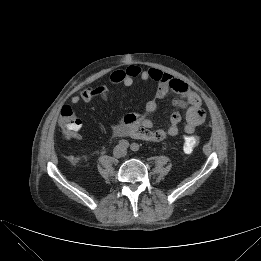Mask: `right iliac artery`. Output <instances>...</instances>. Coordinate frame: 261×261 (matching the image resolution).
Here are the masks:
<instances>
[{"mask_svg":"<svg viewBox=\"0 0 261 261\" xmlns=\"http://www.w3.org/2000/svg\"><path fill=\"white\" fill-rule=\"evenodd\" d=\"M119 146L122 148H127L129 146V142L127 140L122 139L119 141Z\"/></svg>","mask_w":261,"mask_h":261,"instance_id":"right-iliac-artery-1","label":"right iliac artery"}]
</instances>
